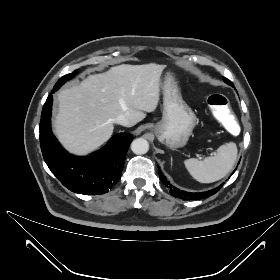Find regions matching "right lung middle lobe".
Instances as JSON below:
<instances>
[{
  "mask_svg": "<svg viewBox=\"0 0 280 280\" xmlns=\"http://www.w3.org/2000/svg\"><path fill=\"white\" fill-rule=\"evenodd\" d=\"M77 72H78V70H75L74 72L61 77L58 80V82L55 84L54 90L57 91L66 81L72 79L77 74Z\"/></svg>",
  "mask_w": 280,
  "mask_h": 280,
  "instance_id": "obj_1",
  "label": "right lung middle lobe"
}]
</instances>
